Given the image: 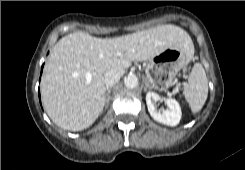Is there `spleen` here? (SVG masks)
Wrapping results in <instances>:
<instances>
[{"mask_svg":"<svg viewBox=\"0 0 245 170\" xmlns=\"http://www.w3.org/2000/svg\"><path fill=\"white\" fill-rule=\"evenodd\" d=\"M183 94L193 113L202 109L208 96V80L200 63L193 66L188 82L184 86Z\"/></svg>","mask_w":245,"mask_h":170,"instance_id":"obj_1","label":"spleen"}]
</instances>
